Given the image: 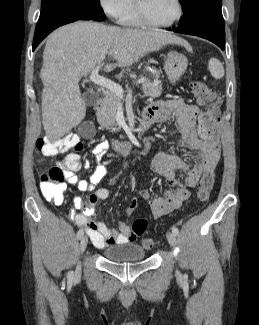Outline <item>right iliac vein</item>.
Instances as JSON below:
<instances>
[{
    "instance_id": "right-iliac-vein-1",
    "label": "right iliac vein",
    "mask_w": 259,
    "mask_h": 325,
    "mask_svg": "<svg viewBox=\"0 0 259 325\" xmlns=\"http://www.w3.org/2000/svg\"><path fill=\"white\" fill-rule=\"evenodd\" d=\"M87 243H88V237L82 236L81 240H80V251L81 253H83L87 247ZM81 274V265L78 264L76 267V271H75V276L78 277Z\"/></svg>"
}]
</instances>
